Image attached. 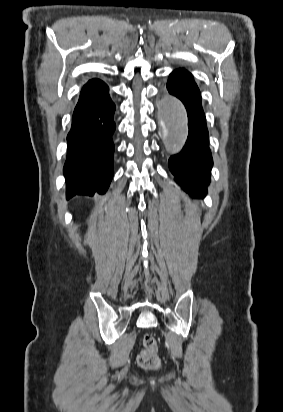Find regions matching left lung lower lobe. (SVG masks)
Instances as JSON below:
<instances>
[{
	"instance_id": "0a47b994",
	"label": "left lung lower lobe",
	"mask_w": 283,
	"mask_h": 412,
	"mask_svg": "<svg viewBox=\"0 0 283 412\" xmlns=\"http://www.w3.org/2000/svg\"><path fill=\"white\" fill-rule=\"evenodd\" d=\"M167 89L185 105L189 127L186 144L179 154L169 159V168L186 193L203 197L207 194L213 161L200 91L192 75L184 69L170 74Z\"/></svg>"
}]
</instances>
